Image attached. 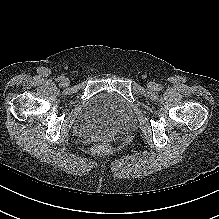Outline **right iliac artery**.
Returning a JSON list of instances; mask_svg holds the SVG:
<instances>
[{
    "label": "right iliac artery",
    "mask_w": 219,
    "mask_h": 219,
    "mask_svg": "<svg viewBox=\"0 0 219 219\" xmlns=\"http://www.w3.org/2000/svg\"><path fill=\"white\" fill-rule=\"evenodd\" d=\"M63 78H64V77L60 76V77H58L56 80L59 82V81H62Z\"/></svg>",
    "instance_id": "obj_1"
}]
</instances>
